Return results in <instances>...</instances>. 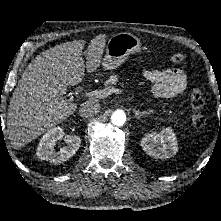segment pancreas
Here are the masks:
<instances>
[{
	"label": "pancreas",
	"instance_id": "obj_1",
	"mask_svg": "<svg viewBox=\"0 0 221 221\" xmlns=\"http://www.w3.org/2000/svg\"><path fill=\"white\" fill-rule=\"evenodd\" d=\"M119 80V76L118 75H110L109 78L105 81V86L106 89L111 88L113 85H116V83Z\"/></svg>",
	"mask_w": 221,
	"mask_h": 221
}]
</instances>
